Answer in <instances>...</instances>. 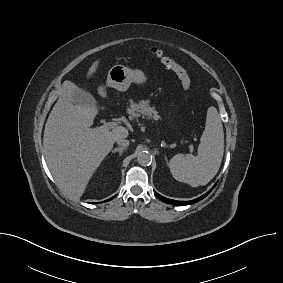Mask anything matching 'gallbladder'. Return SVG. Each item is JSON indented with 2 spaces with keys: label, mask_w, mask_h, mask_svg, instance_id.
<instances>
[{
  "label": "gallbladder",
  "mask_w": 283,
  "mask_h": 283,
  "mask_svg": "<svg viewBox=\"0 0 283 283\" xmlns=\"http://www.w3.org/2000/svg\"><path fill=\"white\" fill-rule=\"evenodd\" d=\"M73 98H74L73 101L74 105H89L94 103V100L91 97V95L82 89L76 91Z\"/></svg>",
  "instance_id": "bac80fb5"
}]
</instances>
